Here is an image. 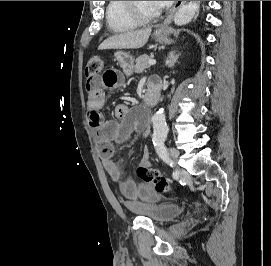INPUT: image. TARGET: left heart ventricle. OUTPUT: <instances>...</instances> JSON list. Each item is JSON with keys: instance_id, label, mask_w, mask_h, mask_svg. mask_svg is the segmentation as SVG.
Returning a JSON list of instances; mask_svg holds the SVG:
<instances>
[{"instance_id": "left-heart-ventricle-1", "label": "left heart ventricle", "mask_w": 271, "mask_h": 266, "mask_svg": "<svg viewBox=\"0 0 271 266\" xmlns=\"http://www.w3.org/2000/svg\"><path fill=\"white\" fill-rule=\"evenodd\" d=\"M137 9L144 15L150 16L159 12L153 1H136Z\"/></svg>"}]
</instances>
